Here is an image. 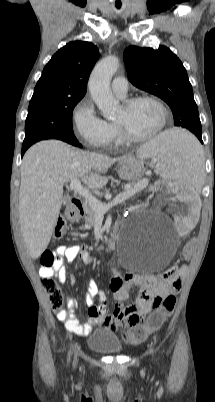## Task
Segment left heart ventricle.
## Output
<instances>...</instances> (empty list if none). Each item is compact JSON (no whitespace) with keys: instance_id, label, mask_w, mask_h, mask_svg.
I'll list each match as a JSON object with an SVG mask.
<instances>
[{"instance_id":"left-heart-ventricle-1","label":"left heart ventricle","mask_w":215,"mask_h":402,"mask_svg":"<svg viewBox=\"0 0 215 402\" xmlns=\"http://www.w3.org/2000/svg\"><path fill=\"white\" fill-rule=\"evenodd\" d=\"M162 113L159 107L150 101H141L129 109L123 106L117 121L123 122L127 129L136 136L154 132L161 124Z\"/></svg>"}]
</instances>
